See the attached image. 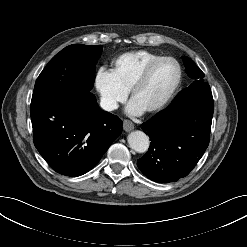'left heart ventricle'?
I'll return each instance as SVG.
<instances>
[{
	"mask_svg": "<svg viewBox=\"0 0 247 247\" xmlns=\"http://www.w3.org/2000/svg\"><path fill=\"white\" fill-rule=\"evenodd\" d=\"M176 77L177 68L172 61L159 62L153 68L145 84L136 92L133 100L147 110L166 96Z\"/></svg>",
	"mask_w": 247,
	"mask_h": 247,
	"instance_id": "b2bd125f",
	"label": "left heart ventricle"
}]
</instances>
